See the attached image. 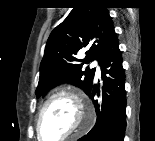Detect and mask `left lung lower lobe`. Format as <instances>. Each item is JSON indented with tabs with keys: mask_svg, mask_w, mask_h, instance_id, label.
<instances>
[{
	"mask_svg": "<svg viewBox=\"0 0 155 141\" xmlns=\"http://www.w3.org/2000/svg\"><path fill=\"white\" fill-rule=\"evenodd\" d=\"M102 90L92 86L87 95L96 108V124L80 141H124L126 130V92L125 72L117 36L114 35L106 46L100 60ZM101 94L100 100L94 96ZM114 98V99H113ZM112 99L119 100L116 111L112 108Z\"/></svg>",
	"mask_w": 155,
	"mask_h": 141,
	"instance_id": "left-lung-lower-lobe-1",
	"label": "left lung lower lobe"
}]
</instances>
